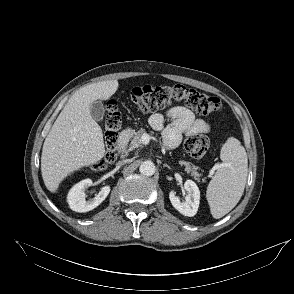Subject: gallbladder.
I'll use <instances>...</instances> for the list:
<instances>
[{
  "mask_svg": "<svg viewBox=\"0 0 294 294\" xmlns=\"http://www.w3.org/2000/svg\"><path fill=\"white\" fill-rule=\"evenodd\" d=\"M104 112V105L100 100L94 101L90 105V113L94 120L101 121L103 119Z\"/></svg>",
  "mask_w": 294,
  "mask_h": 294,
  "instance_id": "gallbladder-1",
  "label": "gallbladder"
}]
</instances>
